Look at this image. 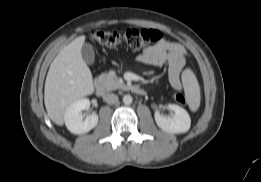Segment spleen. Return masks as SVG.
<instances>
[{
  "label": "spleen",
  "instance_id": "obj_1",
  "mask_svg": "<svg viewBox=\"0 0 261 182\" xmlns=\"http://www.w3.org/2000/svg\"><path fill=\"white\" fill-rule=\"evenodd\" d=\"M182 82L189 108L195 112L200 106V87L191 69L182 73Z\"/></svg>",
  "mask_w": 261,
  "mask_h": 182
}]
</instances>
